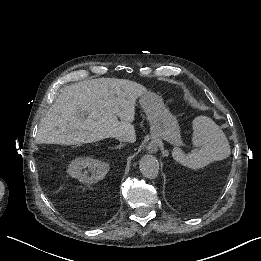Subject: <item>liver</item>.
Returning <instances> with one entry per match:
<instances>
[{
    "instance_id": "obj_1",
    "label": "liver",
    "mask_w": 261,
    "mask_h": 261,
    "mask_svg": "<svg viewBox=\"0 0 261 261\" xmlns=\"http://www.w3.org/2000/svg\"><path fill=\"white\" fill-rule=\"evenodd\" d=\"M145 93L143 85L117 78H96L66 86L41 119L38 141L80 145L116 138L133 143L135 103Z\"/></svg>"
}]
</instances>
